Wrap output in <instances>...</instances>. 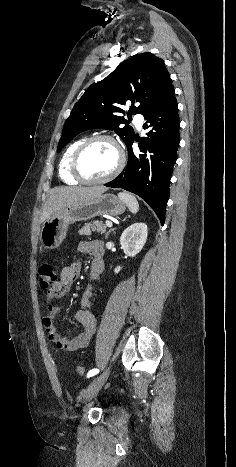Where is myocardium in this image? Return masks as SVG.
I'll list each match as a JSON object with an SVG mask.
<instances>
[{
    "label": "myocardium",
    "mask_w": 236,
    "mask_h": 467,
    "mask_svg": "<svg viewBox=\"0 0 236 467\" xmlns=\"http://www.w3.org/2000/svg\"><path fill=\"white\" fill-rule=\"evenodd\" d=\"M100 140H106L109 141L110 143L113 144L115 147L117 154H118V161L115 166V168L110 172L107 176L99 179H90L87 178L83 172L81 171L80 167V162L83 153L85 150L93 143L100 141ZM126 162V157H125V152L123 148L121 147L120 143L111 135L108 134H98L95 136H92L86 140H84L75 150L73 153L71 163H70V172L74 178H76L79 182L85 183V184H101V183H106L114 178H116L124 169Z\"/></svg>",
    "instance_id": "myocardium-1"
}]
</instances>
